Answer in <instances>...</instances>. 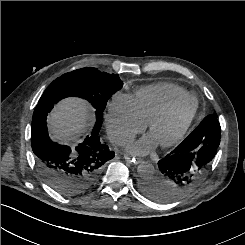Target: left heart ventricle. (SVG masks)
Returning <instances> with one entry per match:
<instances>
[{
    "instance_id": "obj_1",
    "label": "left heart ventricle",
    "mask_w": 245,
    "mask_h": 245,
    "mask_svg": "<svg viewBox=\"0 0 245 245\" xmlns=\"http://www.w3.org/2000/svg\"><path fill=\"white\" fill-rule=\"evenodd\" d=\"M194 108V102H188L175 111L169 118L158 123L151 132L157 143L170 140L188 119Z\"/></svg>"
}]
</instances>
